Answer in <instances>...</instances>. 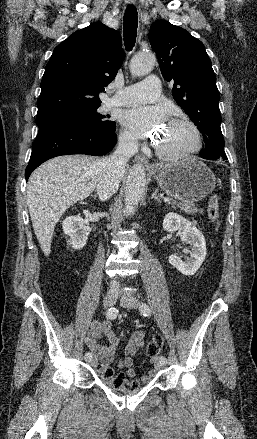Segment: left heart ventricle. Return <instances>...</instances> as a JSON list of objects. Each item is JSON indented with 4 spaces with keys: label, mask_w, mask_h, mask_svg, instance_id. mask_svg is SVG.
<instances>
[{
    "label": "left heart ventricle",
    "mask_w": 257,
    "mask_h": 439,
    "mask_svg": "<svg viewBox=\"0 0 257 439\" xmlns=\"http://www.w3.org/2000/svg\"><path fill=\"white\" fill-rule=\"evenodd\" d=\"M194 145L192 131L183 125L167 124L158 141V146L169 152H180Z\"/></svg>",
    "instance_id": "1"
}]
</instances>
